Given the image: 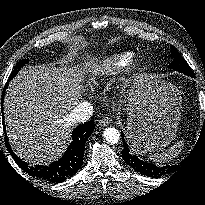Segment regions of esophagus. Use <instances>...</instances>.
Returning a JSON list of instances; mask_svg holds the SVG:
<instances>
[{"label": "esophagus", "mask_w": 205, "mask_h": 205, "mask_svg": "<svg viewBox=\"0 0 205 205\" xmlns=\"http://www.w3.org/2000/svg\"><path fill=\"white\" fill-rule=\"evenodd\" d=\"M110 124V119L108 117H104L101 120H99V125L102 127H107Z\"/></svg>", "instance_id": "1"}]
</instances>
